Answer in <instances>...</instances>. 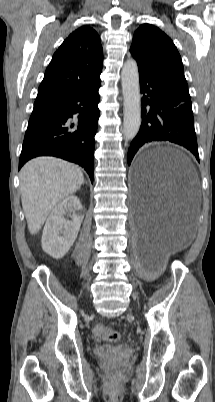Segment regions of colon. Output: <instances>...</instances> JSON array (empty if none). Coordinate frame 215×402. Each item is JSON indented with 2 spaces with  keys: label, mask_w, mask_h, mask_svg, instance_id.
I'll list each match as a JSON object with an SVG mask.
<instances>
[{
  "label": "colon",
  "mask_w": 215,
  "mask_h": 402,
  "mask_svg": "<svg viewBox=\"0 0 215 402\" xmlns=\"http://www.w3.org/2000/svg\"><path fill=\"white\" fill-rule=\"evenodd\" d=\"M94 334L97 337L105 338L108 341L115 342L120 338L119 332L111 330L104 325L98 324L94 327Z\"/></svg>",
  "instance_id": "obj_1"
}]
</instances>
